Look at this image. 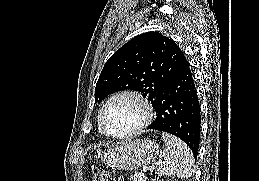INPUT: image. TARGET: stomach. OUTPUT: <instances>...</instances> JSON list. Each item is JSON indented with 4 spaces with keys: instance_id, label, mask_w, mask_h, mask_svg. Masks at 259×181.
Returning <instances> with one entry per match:
<instances>
[{
    "instance_id": "1",
    "label": "stomach",
    "mask_w": 259,
    "mask_h": 181,
    "mask_svg": "<svg viewBox=\"0 0 259 181\" xmlns=\"http://www.w3.org/2000/svg\"><path fill=\"white\" fill-rule=\"evenodd\" d=\"M161 153L156 142L137 139L108 150L102 155V160L113 169L134 170L156 162Z\"/></svg>"
}]
</instances>
